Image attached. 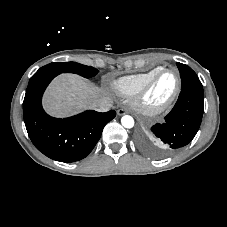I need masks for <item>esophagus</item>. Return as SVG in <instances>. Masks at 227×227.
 <instances>
[{
	"instance_id": "esophagus-1",
	"label": "esophagus",
	"mask_w": 227,
	"mask_h": 227,
	"mask_svg": "<svg viewBox=\"0 0 227 227\" xmlns=\"http://www.w3.org/2000/svg\"><path fill=\"white\" fill-rule=\"evenodd\" d=\"M126 113H127V111H126L125 109H123V108H120V109L117 110V114H118L119 116H122V115H124V114H126Z\"/></svg>"
}]
</instances>
